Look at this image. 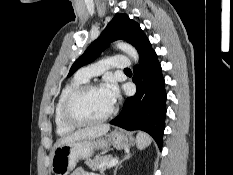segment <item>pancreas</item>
<instances>
[{
    "mask_svg": "<svg viewBox=\"0 0 233 175\" xmlns=\"http://www.w3.org/2000/svg\"><path fill=\"white\" fill-rule=\"evenodd\" d=\"M113 160L111 155L106 156H98L93 160H87L85 164L92 170H105L107 167V163Z\"/></svg>",
    "mask_w": 233,
    "mask_h": 175,
    "instance_id": "pancreas-1",
    "label": "pancreas"
}]
</instances>
